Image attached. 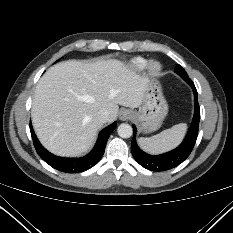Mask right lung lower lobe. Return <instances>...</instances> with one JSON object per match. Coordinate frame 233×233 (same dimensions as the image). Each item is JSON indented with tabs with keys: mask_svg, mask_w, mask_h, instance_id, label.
<instances>
[{
	"mask_svg": "<svg viewBox=\"0 0 233 233\" xmlns=\"http://www.w3.org/2000/svg\"><path fill=\"white\" fill-rule=\"evenodd\" d=\"M116 125L117 123L114 122L111 125L104 128L100 132L96 145L94 146L92 151L82 158H63L51 154L38 141L33 131L31 123H30V131L33 139V144L35 146L38 155L47 164H49L54 169H57L65 173H77V172L85 171L98 163V161L101 159V157L104 154L107 140L110 134L112 133V131L115 129Z\"/></svg>",
	"mask_w": 233,
	"mask_h": 233,
	"instance_id": "right-lung-lower-lobe-1",
	"label": "right lung lower lobe"
}]
</instances>
